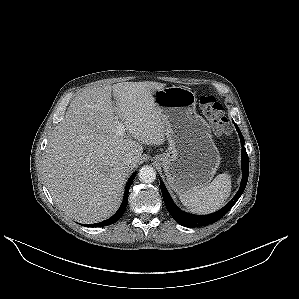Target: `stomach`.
I'll list each match as a JSON object with an SVG mask.
<instances>
[{"label": "stomach", "instance_id": "obj_1", "mask_svg": "<svg viewBox=\"0 0 299 299\" xmlns=\"http://www.w3.org/2000/svg\"><path fill=\"white\" fill-rule=\"evenodd\" d=\"M153 102L166 123L169 147L156 155L170 187L178 194L206 186L220 165V154L210 126L196 113L195 93L187 87H164L154 91Z\"/></svg>", "mask_w": 299, "mask_h": 299}]
</instances>
